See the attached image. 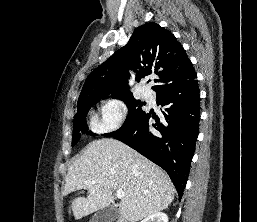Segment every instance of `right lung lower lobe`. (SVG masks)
Returning a JSON list of instances; mask_svg holds the SVG:
<instances>
[{
	"label": "right lung lower lobe",
	"mask_w": 257,
	"mask_h": 222,
	"mask_svg": "<svg viewBox=\"0 0 257 222\" xmlns=\"http://www.w3.org/2000/svg\"><path fill=\"white\" fill-rule=\"evenodd\" d=\"M196 75L183 83L156 91L163 107L159 118L144 113L129 128L113 135L163 168L170 176L179 199L188 179L200 120V97ZM150 117L155 123L149 124Z\"/></svg>",
	"instance_id": "98d812e1"
}]
</instances>
